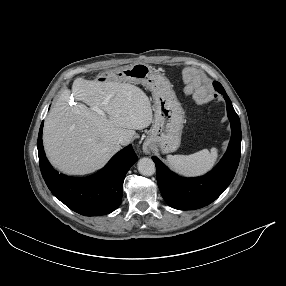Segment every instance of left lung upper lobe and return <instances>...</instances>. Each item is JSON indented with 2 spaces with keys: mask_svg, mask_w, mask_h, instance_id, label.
<instances>
[{
  "mask_svg": "<svg viewBox=\"0 0 286 286\" xmlns=\"http://www.w3.org/2000/svg\"><path fill=\"white\" fill-rule=\"evenodd\" d=\"M214 87H215V89L219 92V93H226L225 92V90H224V88L222 87V85L220 84V83H218V82H214Z\"/></svg>",
  "mask_w": 286,
  "mask_h": 286,
  "instance_id": "5c2ea615",
  "label": "left lung upper lobe"
}]
</instances>
